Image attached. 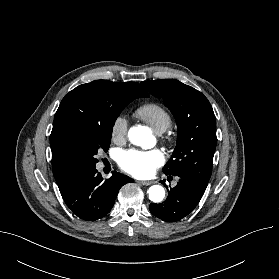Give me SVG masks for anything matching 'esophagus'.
Returning a JSON list of instances; mask_svg holds the SVG:
<instances>
[{
  "label": "esophagus",
  "mask_w": 279,
  "mask_h": 279,
  "mask_svg": "<svg viewBox=\"0 0 279 279\" xmlns=\"http://www.w3.org/2000/svg\"><path fill=\"white\" fill-rule=\"evenodd\" d=\"M139 183L142 185L148 186V185L153 184L154 182L153 181H140Z\"/></svg>",
  "instance_id": "esophagus-1"
}]
</instances>
